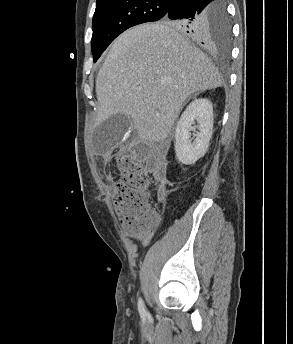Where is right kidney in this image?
<instances>
[{
	"mask_svg": "<svg viewBox=\"0 0 293 344\" xmlns=\"http://www.w3.org/2000/svg\"><path fill=\"white\" fill-rule=\"evenodd\" d=\"M198 123V133L192 142L191 131ZM213 132V106L207 98L194 99L182 113L175 129V152L179 162L194 164L206 153Z\"/></svg>",
	"mask_w": 293,
	"mask_h": 344,
	"instance_id": "right-kidney-1",
	"label": "right kidney"
}]
</instances>
